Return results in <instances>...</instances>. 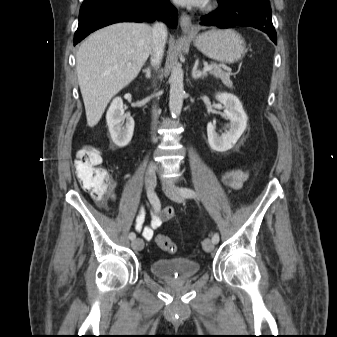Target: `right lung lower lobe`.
Wrapping results in <instances>:
<instances>
[{"label":"right lung lower lobe","instance_id":"1","mask_svg":"<svg viewBox=\"0 0 337 337\" xmlns=\"http://www.w3.org/2000/svg\"><path fill=\"white\" fill-rule=\"evenodd\" d=\"M170 15L172 19L169 18ZM176 16V9L169 0H84L74 45L91 32L113 23L160 19L169 26H176Z\"/></svg>","mask_w":337,"mask_h":337}]
</instances>
